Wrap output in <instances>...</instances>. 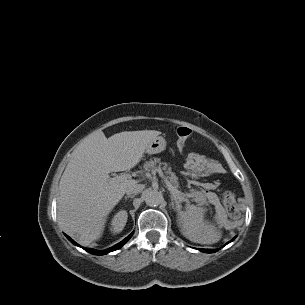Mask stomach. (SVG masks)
Returning a JSON list of instances; mask_svg holds the SVG:
<instances>
[{
    "label": "stomach",
    "mask_w": 305,
    "mask_h": 305,
    "mask_svg": "<svg viewBox=\"0 0 305 305\" xmlns=\"http://www.w3.org/2000/svg\"><path fill=\"white\" fill-rule=\"evenodd\" d=\"M166 140L162 136L156 137L152 140L146 147L145 153L147 154H157L165 150Z\"/></svg>",
    "instance_id": "obj_1"
}]
</instances>
